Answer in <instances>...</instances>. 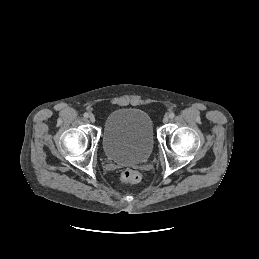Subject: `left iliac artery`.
<instances>
[{
    "label": "left iliac artery",
    "instance_id": "left-iliac-artery-1",
    "mask_svg": "<svg viewBox=\"0 0 259 259\" xmlns=\"http://www.w3.org/2000/svg\"><path fill=\"white\" fill-rule=\"evenodd\" d=\"M175 117V114L173 113V112H171L170 114H169V118H174Z\"/></svg>",
    "mask_w": 259,
    "mask_h": 259
}]
</instances>
